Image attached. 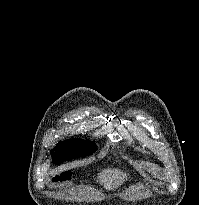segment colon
I'll return each instance as SVG.
<instances>
[{
	"instance_id": "5ec220e1",
	"label": "colon",
	"mask_w": 199,
	"mask_h": 205,
	"mask_svg": "<svg viewBox=\"0 0 199 205\" xmlns=\"http://www.w3.org/2000/svg\"><path fill=\"white\" fill-rule=\"evenodd\" d=\"M70 179V174L69 173H60L58 176H57V180L58 181H62V182H65V181H68Z\"/></svg>"
}]
</instances>
